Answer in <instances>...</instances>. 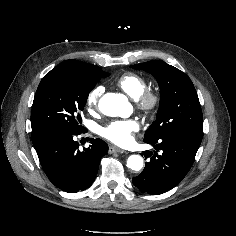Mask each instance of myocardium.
<instances>
[{"mask_svg":"<svg viewBox=\"0 0 236 236\" xmlns=\"http://www.w3.org/2000/svg\"><path fill=\"white\" fill-rule=\"evenodd\" d=\"M137 107L146 115H153L160 104V96L156 91L145 90L136 100Z\"/></svg>","mask_w":236,"mask_h":236,"instance_id":"1","label":"myocardium"}]
</instances>
